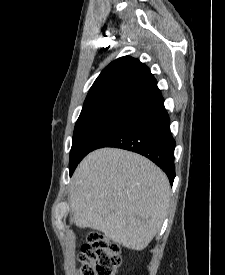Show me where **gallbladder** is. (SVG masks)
<instances>
[{"instance_id":"gallbladder-1","label":"gallbladder","mask_w":225,"mask_h":275,"mask_svg":"<svg viewBox=\"0 0 225 275\" xmlns=\"http://www.w3.org/2000/svg\"><path fill=\"white\" fill-rule=\"evenodd\" d=\"M71 216H72L71 219H73V213L72 212H71Z\"/></svg>"}]
</instances>
